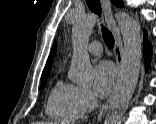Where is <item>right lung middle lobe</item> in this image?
<instances>
[{
  "mask_svg": "<svg viewBox=\"0 0 156 124\" xmlns=\"http://www.w3.org/2000/svg\"><path fill=\"white\" fill-rule=\"evenodd\" d=\"M47 75H42V79H45ZM45 84V81L42 82V86Z\"/></svg>",
  "mask_w": 156,
  "mask_h": 124,
  "instance_id": "1",
  "label": "right lung middle lobe"
}]
</instances>
